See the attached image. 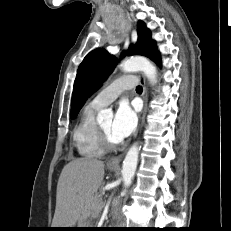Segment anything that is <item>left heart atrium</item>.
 Here are the masks:
<instances>
[{
    "instance_id": "1",
    "label": "left heart atrium",
    "mask_w": 231,
    "mask_h": 231,
    "mask_svg": "<svg viewBox=\"0 0 231 231\" xmlns=\"http://www.w3.org/2000/svg\"><path fill=\"white\" fill-rule=\"evenodd\" d=\"M137 125L135 111L126 103L122 102L115 113L112 123V136L117 142L123 141L130 136Z\"/></svg>"
}]
</instances>
